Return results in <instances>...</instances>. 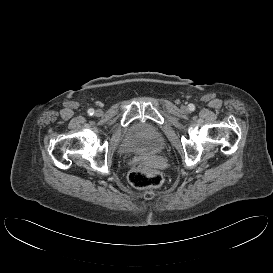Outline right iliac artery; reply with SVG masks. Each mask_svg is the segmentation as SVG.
<instances>
[{
	"instance_id": "right-iliac-artery-1",
	"label": "right iliac artery",
	"mask_w": 273,
	"mask_h": 273,
	"mask_svg": "<svg viewBox=\"0 0 273 273\" xmlns=\"http://www.w3.org/2000/svg\"><path fill=\"white\" fill-rule=\"evenodd\" d=\"M88 114H89V115H93V114H94V110H93L92 108L89 109V110H88Z\"/></svg>"
}]
</instances>
